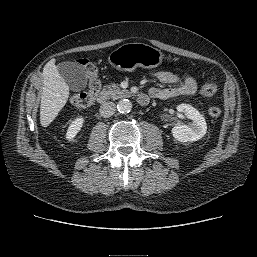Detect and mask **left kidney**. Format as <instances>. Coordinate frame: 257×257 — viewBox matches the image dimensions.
I'll use <instances>...</instances> for the list:
<instances>
[{"label": "left kidney", "mask_w": 257, "mask_h": 257, "mask_svg": "<svg viewBox=\"0 0 257 257\" xmlns=\"http://www.w3.org/2000/svg\"><path fill=\"white\" fill-rule=\"evenodd\" d=\"M177 110L184 113L191 123L174 126L172 128L173 137L180 142H193L204 137L207 132V124L203 115L189 104H180L177 106Z\"/></svg>", "instance_id": "5707ae66"}]
</instances>
